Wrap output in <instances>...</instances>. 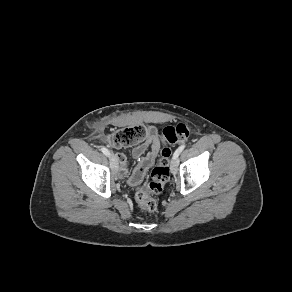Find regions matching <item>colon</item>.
Returning <instances> with one entry per match:
<instances>
[{
	"instance_id": "colon-1",
	"label": "colon",
	"mask_w": 292,
	"mask_h": 292,
	"mask_svg": "<svg viewBox=\"0 0 292 292\" xmlns=\"http://www.w3.org/2000/svg\"><path fill=\"white\" fill-rule=\"evenodd\" d=\"M146 136V127L136 125L112 132L108 135L107 142L114 147H123L139 142ZM188 136L189 130L184 124L167 126L162 130L160 139L163 142V147L158 163L151 172V180L144 189L135 194V200L142 209L154 211L157 208L158 203L154 196L162 192L170 175L169 158L171 149L169 145L184 142Z\"/></svg>"
}]
</instances>
